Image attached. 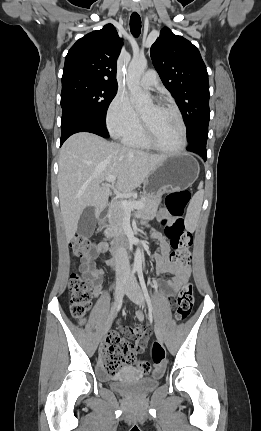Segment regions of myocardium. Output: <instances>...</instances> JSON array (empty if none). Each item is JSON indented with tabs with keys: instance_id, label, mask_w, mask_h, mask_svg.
Masks as SVG:
<instances>
[{
	"instance_id": "f54148a6",
	"label": "myocardium",
	"mask_w": 261,
	"mask_h": 431,
	"mask_svg": "<svg viewBox=\"0 0 261 431\" xmlns=\"http://www.w3.org/2000/svg\"><path fill=\"white\" fill-rule=\"evenodd\" d=\"M158 104L160 106L171 109L176 114L178 121H179V124H180V127H181V142L176 149L169 150V149L163 148L162 146H160L157 143V141L155 140L150 128L148 127V125L146 124L144 119L141 117L142 131H143L144 137L147 140V142L150 144V146L153 147L154 149H156L157 151L162 152V153L167 154V155H173V156L178 155L184 151V149L187 145V129H186V125H185L183 116H182L180 110L175 105H173L167 101H161Z\"/></svg>"
}]
</instances>
